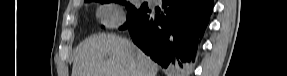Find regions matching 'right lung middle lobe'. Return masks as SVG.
<instances>
[{"instance_id":"obj_1","label":"right lung middle lobe","mask_w":287,"mask_h":76,"mask_svg":"<svg viewBox=\"0 0 287 76\" xmlns=\"http://www.w3.org/2000/svg\"><path fill=\"white\" fill-rule=\"evenodd\" d=\"M95 1H99V0H95ZM109 2H119L121 4H124L126 6V9L128 10L127 22L123 26L120 27L121 30L128 28L139 17L143 16L148 10V6L146 3L142 4L140 8H136L134 5H132L129 2H126L125 0H101L102 4L109 3Z\"/></svg>"}]
</instances>
